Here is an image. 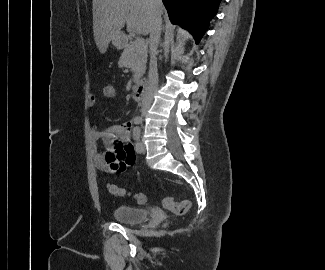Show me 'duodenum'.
I'll use <instances>...</instances> for the list:
<instances>
[{"mask_svg": "<svg viewBox=\"0 0 325 270\" xmlns=\"http://www.w3.org/2000/svg\"><path fill=\"white\" fill-rule=\"evenodd\" d=\"M146 86V82L143 80L135 84L132 93L134 101L141 102L143 100L146 91Z\"/></svg>", "mask_w": 325, "mask_h": 270, "instance_id": "duodenum-1", "label": "duodenum"}]
</instances>
